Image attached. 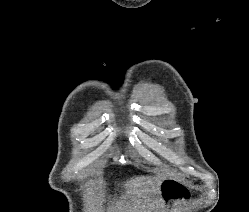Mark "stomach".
<instances>
[{
	"mask_svg": "<svg viewBox=\"0 0 249 212\" xmlns=\"http://www.w3.org/2000/svg\"><path fill=\"white\" fill-rule=\"evenodd\" d=\"M159 192L167 212H176V204L188 198V192L176 180H163V182H160Z\"/></svg>",
	"mask_w": 249,
	"mask_h": 212,
	"instance_id": "0dacf381",
	"label": "stomach"
}]
</instances>
